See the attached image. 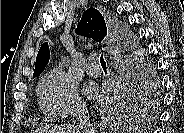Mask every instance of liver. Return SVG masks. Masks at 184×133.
Segmentation results:
<instances>
[{
    "label": "liver",
    "mask_w": 184,
    "mask_h": 133,
    "mask_svg": "<svg viewBox=\"0 0 184 133\" xmlns=\"http://www.w3.org/2000/svg\"><path fill=\"white\" fill-rule=\"evenodd\" d=\"M78 131H79L78 128L75 126H64V127H55L52 129H49V127L39 128L35 130V133H80Z\"/></svg>",
    "instance_id": "1"
}]
</instances>
